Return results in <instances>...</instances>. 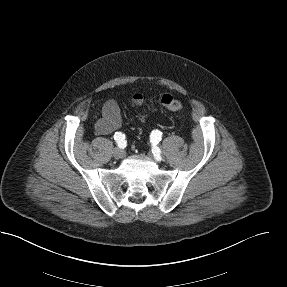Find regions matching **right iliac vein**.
Listing matches in <instances>:
<instances>
[{
	"instance_id": "63e3f726",
	"label": "right iliac vein",
	"mask_w": 287,
	"mask_h": 287,
	"mask_svg": "<svg viewBox=\"0 0 287 287\" xmlns=\"http://www.w3.org/2000/svg\"><path fill=\"white\" fill-rule=\"evenodd\" d=\"M113 156L116 159H121V158L124 157V151L122 149H120V148H115L113 150Z\"/></svg>"
}]
</instances>
